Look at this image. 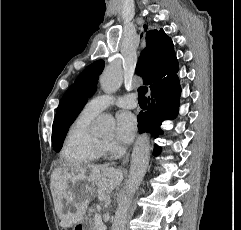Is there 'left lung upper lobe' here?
Segmentation results:
<instances>
[{
    "label": "left lung upper lobe",
    "instance_id": "1",
    "mask_svg": "<svg viewBox=\"0 0 241 230\" xmlns=\"http://www.w3.org/2000/svg\"><path fill=\"white\" fill-rule=\"evenodd\" d=\"M103 68V60L89 65L63 95L52 127V145L56 152L61 150L69 127L87 103L88 97L95 92Z\"/></svg>",
    "mask_w": 241,
    "mask_h": 230
}]
</instances>
